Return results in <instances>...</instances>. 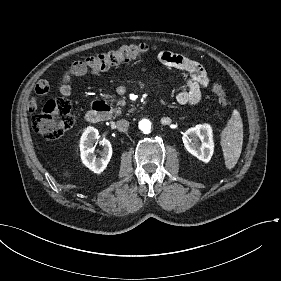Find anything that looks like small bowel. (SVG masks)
<instances>
[{
  "label": "small bowel",
  "mask_w": 281,
  "mask_h": 281,
  "mask_svg": "<svg viewBox=\"0 0 281 281\" xmlns=\"http://www.w3.org/2000/svg\"><path fill=\"white\" fill-rule=\"evenodd\" d=\"M158 62L168 68H174L189 75V79L177 95V102L180 105H194L201 98L202 89L210 84L205 67L198 61L171 51H163L158 55ZM86 67L83 62H75L63 75L58 91L61 95L68 96L71 93V79L85 75ZM51 86L47 80L40 79L34 83L33 89L29 90L28 110L34 112L40 99L47 96Z\"/></svg>",
  "instance_id": "c3829d8e"
}]
</instances>
